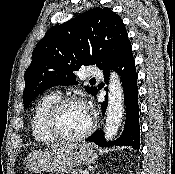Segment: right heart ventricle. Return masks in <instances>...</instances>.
I'll use <instances>...</instances> for the list:
<instances>
[{
	"label": "right heart ventricle",
	"instance_id": "1",
	"mask_svg": "<svg viewBox=\"0 0 175 174\" xmlns=\"http://www.w3.org/2000/svg\"><path fill=\"white\" fill-rule=\"evenodd\" d=\"M60 99L56 93L44 95L37 102L31 120V130L34 138L40 143H52L56 139L49 133L46 127V116L52 105Z\"/></svg>",
	"mask_w": 175,
	"mask_h": 174
}]
</instances>
